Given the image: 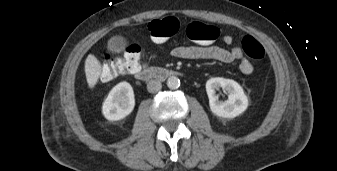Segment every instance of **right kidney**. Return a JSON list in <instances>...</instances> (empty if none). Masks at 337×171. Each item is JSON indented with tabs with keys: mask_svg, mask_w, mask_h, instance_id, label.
Segmentation results:
<instances>
[{
	"mask_svg": "<svg viewBox=\"0 0 337 171\" xmlns=\"http://www.w3.org/2000/svg\"><path fill=\"white\" fill-rule=\"evenodd\" d=\"M135 98L132 86L128 82H120L112 88L105 99L102 112L110 121H117L128 116L134 109Z\"/></svg>",
	"mask_w": 337,
	"mask_h": 171,
	"instance_id": "obj_1",
	"label": "right kidney"
}]
</instances>
